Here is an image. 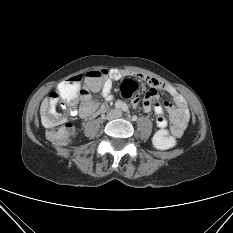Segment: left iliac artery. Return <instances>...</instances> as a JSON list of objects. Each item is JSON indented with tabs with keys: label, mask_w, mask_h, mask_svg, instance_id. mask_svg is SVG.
Returning <instances> with one entry per match:
<instances>
[{
	"label": "left iliac artery",
	"mask_w": 233,
	"mask_h": 233,
	"mask_svg": "<svg viewBox=\"0 0 233 233\" xmlns=\"http://www.w3.org/2000/svg\"><path fill=\"white\" fill-rule=\"evenodd\" d=\"M122 110L125 111V112L128 111V106H127L126 104H124V105L122 106Z\"/></svg>",
	"instance_id": "obj_1"
}]
</instances>
